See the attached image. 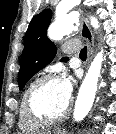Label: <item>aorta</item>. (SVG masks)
Listing matches in <instances>:
<instances>
[{
    "mask_svg": "<svg viewBox=\"0 0 116 134\" xmlns=\"http://www.w3.org/2000/svg\"><path fill=\"white\" fill-rule=\"evenodd\" d=\"M77 21V13L72 12L63 17L58 18L49 28L48 37L51 40H59L68 35L75 28ZM91 25L97 29L99 27L98 20L95 17L90 19ZM103 61V50L97 54L89 70L81 84L79 93L75 102L74 120L79 122L83 120L92 108L96 91L97 82L101 71Z\"/></svg>",
    "mask_w": 116,
    "mask_h": 134,
    "instance_id": "obj_1",
    "label": "aorta"
}]
</instances>
